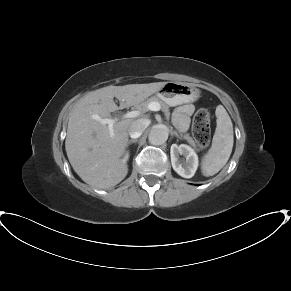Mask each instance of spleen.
<instances>
[{
	"instance_id": "1",
	"label": "spleen",
	"mask_w": 291,
	"mask_h": 291,
	"mask_svg": "<svg viewBox=\"0 0 291 291\" xmlns=\"http://www.w3.org/2000/svg\"><path fill=\"white\" fill-rule=\"evenodd\" d=\"M217 126L212 140V146L202 160L204 176H213L227 163L233 148V124L222 105L215 111Z\"/></svg>"
}]
</instances>
